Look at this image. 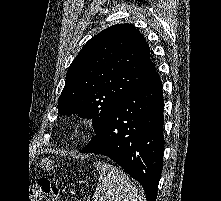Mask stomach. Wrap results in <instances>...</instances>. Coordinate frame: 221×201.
<instances>
[{"label": "stomach", "instance_id": "1", "mask_svg": "<svg viewBox=\"0 0 221 201\" xmlns=\"http://www.w3.org/2000/svg\"><path fill=\"white\" fill-rule=\"evenodd\" d=\"M41 165L43 168H46V170L53 169V162L49 158H45L41 161Z\"/></svg>", "mask_w": 221, "mask_h": 201}]
</instances>
